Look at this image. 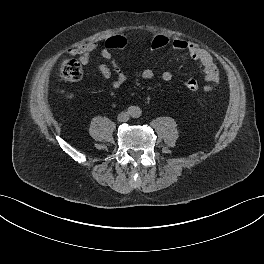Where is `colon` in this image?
<instances>
[{"label": "colon", "instance_id": "1", "mask_svg": "<svg viewBox=\"0 0 264 264\" xmlns=\"http://www.w3.org/2000/svg\"><path fill=\"white\" fill-rule=\"evenodd\" d=\"M169 43V38L164 34L153 35L150 47L152 51H159L165 48ZM128 44V37L125 33H117L110 36L105 41V47L110 50H121L124 49ZM82 67L80 63L69 57H64L59 63V74L67 81H78L82 77ZM184 86L189 91H197L200 88V83L196 78H190L185 83Z\"/></svg>", "mask_w": 264, "mask_h": 264}]
</instances>
